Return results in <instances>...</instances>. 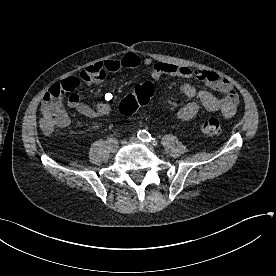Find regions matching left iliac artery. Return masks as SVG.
Instances as JSON below:
<instances>
[{"mask_svg": "<svg viewBox=\"0 0 276 276\" xmlns=\"http://www.w3.org/2000/svg\"><path fill=\"white\" fill-rule=\"evenodd\" d=\"M138 138L144 142H153L154 145H157V141L152 138L146 130H140L137 134Z\"/></svg>", "mask_w": 276, "mask_h": 276, "instance_id": "obj_1", "label": "left iliac artery"}]
</instances>
